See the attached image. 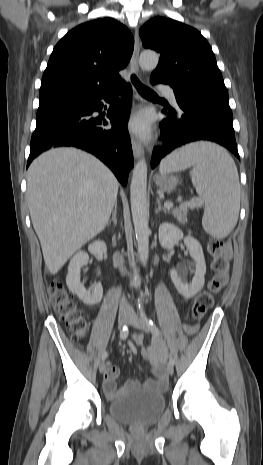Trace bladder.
I'll return each instance as SVG.
<instances>
[{
  "label": "bladder",
  "instance_id": "1",
  "mask_svg": "<svg viewBox=\"0 0 263 465\" xmlns=\"http://www.w3.org/2000/svg\"><path fill=\"white\" fill-rule=\"evenodd\" d=\"M166 407L163 394L140 388L119 395L108 404V413L116 421L136 427L157 423Z\"/></svg>",
  "mask_w": 263,
  "mask_h": 465
}]
</instances>
